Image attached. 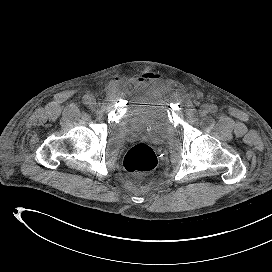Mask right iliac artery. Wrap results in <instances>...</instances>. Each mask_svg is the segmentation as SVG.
Instances as JSON below:
<instances>
[{"label":"right iliac artery","instance_id":"82829eb1","mask_svg":"<svg viewBox=\"0 0 272 272\" xmlns=\"http://www.w3.org/2000/svg\"><path fill=\"white\" fill-rule=\"evenodd\" d=\"M89 101H90V97H89L88 95H85V96L83 97V103H84V104H89Z\"/></svg>","mask_w":272,"mask_h":272}]
</instances>
